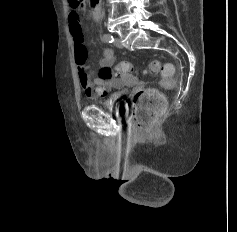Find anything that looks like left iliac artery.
I'll return each mask as SVG.
<instances>
[{"instance_id":"obj_1","label":"left iliac artery","mask_w":237,"mask_h":232,"mask_svg":"<svg viewBox=\"0 0 237 232\" xmlns=\"http://www.w3.org/2000/svg\"><path fill=\"white\" fill-rule=\"evenodd\" d=\"M104 41L107 42V43H112L114 41V38L110 34H105L104 35Z\"/></svg>"}]
</instances>
